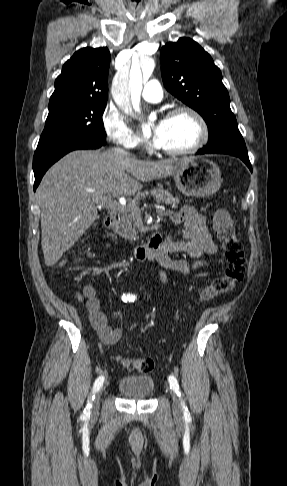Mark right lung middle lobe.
I'll return each instance as SVG.
<instances>
[{"instance_id": "right-lung-middle-lobe-1", "label": "right lung middle lobe", "mask_w": 287, "mask_h": 486, "mask_svg": "<svg viewBox=\"0 0 287 486\" xmlns=\"http://www.w3.org/2000/svg\"><path fill=\"white\" fill-rule=\"evenodd\" d=\"M107 100H83L49 107L37 150L72 143H106L102 115Z\"/></svg>"}]
</instances>
